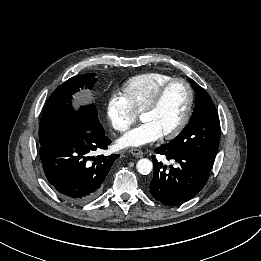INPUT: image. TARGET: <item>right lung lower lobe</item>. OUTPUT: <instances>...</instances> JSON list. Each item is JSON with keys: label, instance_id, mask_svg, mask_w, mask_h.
Masks as SVG:
<instances>
[{"label": "right lung lower lobe", "instance_id": "1", "mask_svg": "<svg viewBox=\"0 0 261 261\" xmlns=\"http://www.w3.org/2000/svg\"><path fill=\"white\" fill-rule=\"evenodd\" d=\"M111 140L104 129L78 130L40 147V158L47 180L55 191L70 202L94 198L119 155L96 158L94 151L107 149Z\"/></svg>", "mask_w": 261, "mask_h": 261}]
</instances>
